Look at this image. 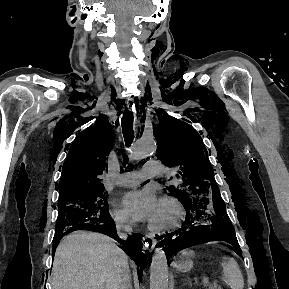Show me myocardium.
Wrapping results in <instances>:
<instances>
[{"label": "myocardium", "mask_w": 289, "mask_h": 289, "mask_svg": "<svg viewBox=\"0 0 289 289\" xmlns=\"http://www.w3.org/2000/svg\"><path fill=\"white\" fill-rule=\"evenodd\" d=\"M161 205H166L174 212V217L161 225L150 221L148 227L154 233H162L179 227L184 219L185 211L181 203L173 197H163L160 200Z\"/></svg>", "instance_id": "1"}]
</instances>
